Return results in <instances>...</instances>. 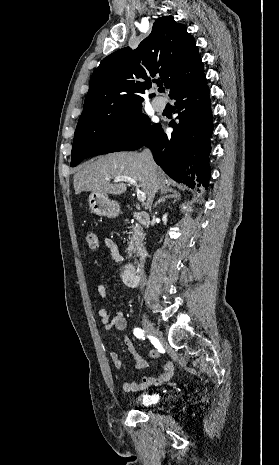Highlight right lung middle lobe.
Here are the masks:
<instances>
[{
  "instance_id": "obj_1",
  "label": "right lung middle lobe",
  "mask_w": 279,
  "mask_h": 465,
  "mask_svg": "<svg viewBox=\"0 0 279 465\" xmlns=\"http://www.w3.org/2000/svg\"><path fill=\"white\" fill-rule=\"evenodd\" d=\"M159 128V124L150 126L149 119L141 114V107L106 113L91 123L77 126L70 166L90 156L125 151L132 146L140 148Z\"/></svg>"
}]
</instances>
